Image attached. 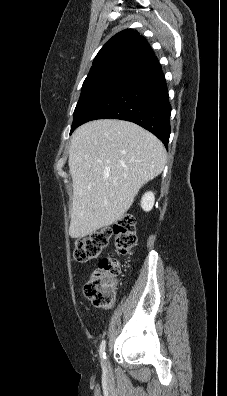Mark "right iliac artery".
<instances>
[{"instance_id":"obj_1","label":"right iliac artery","mask_w":227,"mask_h":396,"mask_svg":"<svg viewBox=\"0 0 227 396\" xmlns=\"http://www.w3.org/2000/svg\"><path fill=\"white\" fill-rule=\"evenodd\" d=\"M105 347H106V341L103 340L102 343H101V345H100L99 354H100V358H101L102 369H103L104 372H106V366H105V359H106Z\"/></svg>"}]
</instances>
